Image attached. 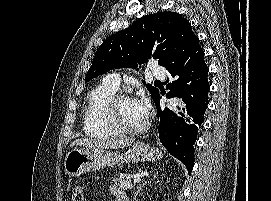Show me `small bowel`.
Here are the masks:
<instances>
[{
    "instance_id": "obj_1",
    "label": "small bowel",
    "mask_w": 271,
    "mask_h": 201,
    "mask_svg": "<svg viewBox=\"0 0 271 201\" xmlns=\"http://www.w3.org/2000/svg\"><path fill=\"white\" fill-rule=\"evenodd\" d=\"M112 193L117 197L119 194L124 193L119 187L112 186L111 187Z\"/></svg>"
}]
</instances>
